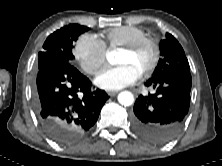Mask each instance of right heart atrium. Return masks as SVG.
I'll return each instance as SVG.
<instances>
[{
	"mask_svg": "<svg viewBox=\"0 0 222 166\" xmlns=\"http://www.w3.org/2000/svg\"><path fill=\"white\" fill-rule=\"evenodd\" d=\"M73 54L85 73L95 75L105 64L106 46L96 35L85 33L76 41Z\"/></svg>",
	"mask_w": 222,
	"mask_h": 166,
	"instance_id": "1",
	"label": "right heart atrium"
}]
</instances>
